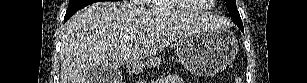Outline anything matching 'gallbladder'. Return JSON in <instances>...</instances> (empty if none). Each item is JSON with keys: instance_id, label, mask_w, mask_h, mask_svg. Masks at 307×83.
<instances>
[{"instance_id": "obj_1", "label": "gallbladder", "mask_w": 307, "mask_h": 83, "mask_svg": "<svg viewBox=\"0 0 307 83\" xmlns=\"http://www.w3.org/2000/svg\"><path fill=\"white\" fill-rule=\"evenodd\" d=\"M122 73L118 69L95 67L87 73L86 83H119Z\"/></svg>"}]
</instances>
